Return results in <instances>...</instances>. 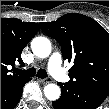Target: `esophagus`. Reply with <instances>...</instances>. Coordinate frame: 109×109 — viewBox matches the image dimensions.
Returning a JSON list of instances; mask_svg holds the SVG:
<instances>
[{"mask_svg":"<svg viewBox=\"0 0 109 109\" xmlns=\"http://www.w3.org/2000/svg\"><path fill=\"white\" fill-rule=\"evenodd\" d=\"M41 82L43 84H48V83L52 82V79L50 77H48V78L42 79Z\"/></svg>","mask_w":109,"mask_h":109,"instance_id":"esophagus-1","label":"esophagus"}]
</instances>
